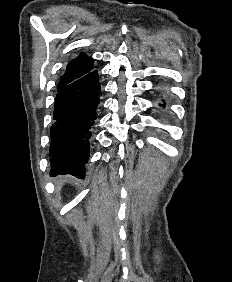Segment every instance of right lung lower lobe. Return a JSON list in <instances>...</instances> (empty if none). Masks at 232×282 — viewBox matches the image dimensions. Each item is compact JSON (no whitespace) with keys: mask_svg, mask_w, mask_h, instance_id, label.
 I'll use <instances>...</instances> for the list:
<instances>
[{"mask_svg":"<svg viewBox=\"0 0 232 282\" xmlns=\"http://www.w3.org/2000/svg\"><path fill=\"white\" fill-rule=\"evenodd\" d=\"M99 93L97 70L58 87L50 129L51 176L84 177Z\"/></svg>","mask_w":232,"mask_h":282,"instance_id":"1","label":"right lung lower lobe"}]
</instances>
